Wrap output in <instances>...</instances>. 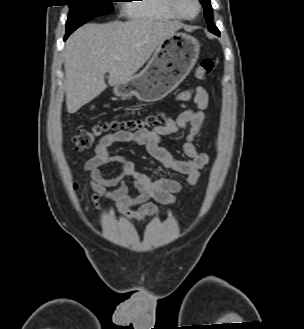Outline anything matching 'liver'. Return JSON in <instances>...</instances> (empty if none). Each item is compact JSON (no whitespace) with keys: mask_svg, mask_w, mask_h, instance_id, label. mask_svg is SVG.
I'll use <instances>...</instances> for the list:
<instances>
[{"mask_svg":"<svg viewBox=\"0 0 304 329\" xmlns=\"http://www.w3.org/2000/svg\"><path fill=\"white\" fill-rule=\"evenodd\" d=\"M182 28L151 19L86 24L67 40L64 50L66 105L76 113L109 85L130 80L167 37Z\"/></svg>","mask_w":304,"mask_h":329,"instance_id":"liver-1","label":"liver"}]
</instances>
